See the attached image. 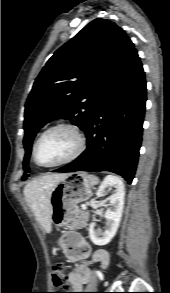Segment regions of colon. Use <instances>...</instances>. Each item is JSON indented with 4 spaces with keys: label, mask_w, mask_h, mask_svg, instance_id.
<instances>
[{
    "label": "colon",
    "mask_w": 170,
    "mask_h": 293,
    "mask_svg": "<svg viewBox=\"0 0 170 293\" xmlns=\"http://www.w3.org/2000/svg\"><path fill=\"white\" fill-rule=\"evenodd\" d=\"M67 277L66 268L61 264L58 263L53 268V283L56 288L59 289L60 292L55 293H66L63 292L66 290L65 279Z\"/></svg>",
    "instance_id": "1"
}]
</instances>
